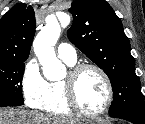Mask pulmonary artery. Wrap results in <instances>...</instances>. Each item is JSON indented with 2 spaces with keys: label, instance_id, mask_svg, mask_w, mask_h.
Segmentation results:
<instances>
[{
  "label": "pulmonary artery",
  "instance_id": "obj_1",
  "mask_svg": "<svg viewBox=\"0 0 145 124\" xmlns=\"http://www.w3.org/2000/svg\"><path fill=\"white\" fill-rule=\"evenodd\" d=\"M57 54L59 58L70 63H75L77 61L76 50L68 43H61L57 48Z\"/></svg>",
  "mask_w": 145,
  "mask_h": 124
}]
</instances>
